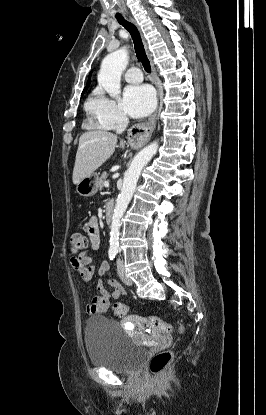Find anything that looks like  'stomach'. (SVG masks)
Listing matches in <instances>:
<instances>
[{"label":"stomach","instance_id":"0dacf381","mask_svg":"<svg viewBox=\"0 0 266 415\" xmlns=\"http://www.w3.org/2000/svg\"><path fill=\"white\" fill-rule=\"evenodd\" d=\"M98 190V175L92 173L83 178L76 186V191L80 196L91 197Z\"/></svg>","mask_w":266,"mask_h":415}]
</instances>
